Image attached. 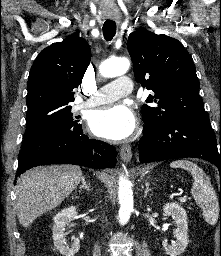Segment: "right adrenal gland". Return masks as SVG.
I'll return each instance as SVG.
<instances>
[{
	"instance_id": "right-adrenal-gland-1",
	"label": "right adrenal gland",
	"mask_w": 221,
	"mask_h": 256,
	"mask_svg": "<svg viewBox=\"0 0 221 256\" xmlns=\"http://www.w3.org/2000/svg\"><path fill=\"white\" fill-rule=\"evenodd\" d=\"M82 185L79 187V189H86L87 191H90V188L88 186V184L86 183V180H85V176L82 177Z\"/></svg>"
}]
</instances>
